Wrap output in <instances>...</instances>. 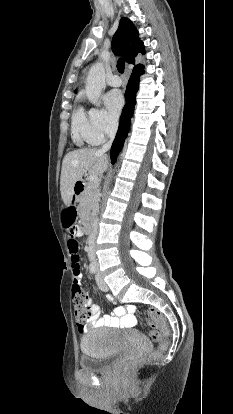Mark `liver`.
<instances>
[{
    "label": "liver",
    "mask_w": 233,
    "mask_h": 414,
    "mask_svg": "<svg viewBox=\"0 0 233 414\" xmlns=\"http://www.w3.org/2000/svg\"><path fill=\"white\" fill-rule=\"evenodd\" d=\"M108 164V156L99 152L96 148L78 149L69 152L63 159L60 177V192L65 205L70 206L75 183L87 171L90 175L101 176L108 168Z\"/></svg>",
    "instance_id": "liver-1"
}]
</instances>
